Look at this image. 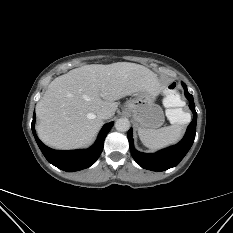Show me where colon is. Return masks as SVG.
Wrapping results in <instances>:
<instances>
[{
  "label": "colon",
  "instance_id": "colon-1",
  "mask_svg": "<svg viewBox=\"0 0 233 233\" xmlns=\"http://www.w3.org/2000/svg\"><path fill=\"white\" fill-rule=\"evenodd\" d=\"M163 102L167 116L172 123L178 125L187 123L189 114L185 109L184 102L175 83L166 86Z\"/></svg>",
  "mask_w": 233,
  "mask_h": 233
}]
</instances>
